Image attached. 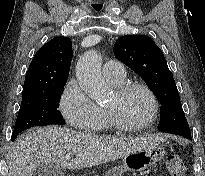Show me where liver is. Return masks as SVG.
I'll return each instance as SVG.
<instances>
[{"label": "liver", "instance_id": "liver-1", "mask_svg": "<svg viewBox=\"0 0 205 176\" xmlns=\"http://www.w3.org/2000/svg\"><path fill=\"white\" fill-rule=\"evenodd\" d=\"M163 141L158 135L147 138L99 137L66 127L34 128L16 139L8 176H31L32 170L41 163L72 170L97 166L155 147ZM68 153H73L75 159L65 160Z\"/></svg>", "mask_w": 205, "mask_h": 176}]
</instances>
